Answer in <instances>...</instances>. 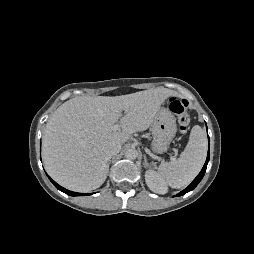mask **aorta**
I'll list each match as a JSON object with an SVG mask.
<instances>
[{"instance_id":"obj_1","label":"aorta","mask_w":254,"mask_h":254,"mask_svg":"<svg viewBox=\"0 0 254 254\" xmlns=\"http://www.w3.org/2000/svg\"><path fill=\"white\" fill-rule=\"evenodd\" d=\"M125 157L130 160H134L138 157V152L135 148H129L125 151Z\"/></svg>"}]
</instances>
